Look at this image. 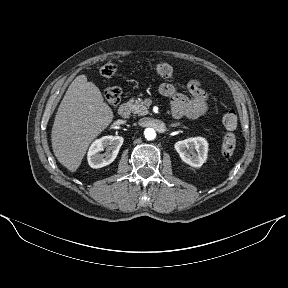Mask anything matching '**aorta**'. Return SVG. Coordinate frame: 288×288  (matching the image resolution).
I'll return each instance as SVG.
<instances>
[{"label":"aorta","instance_id":"obj_1","mask_svg":"<svg viewBox=\"0 0 288 288\" xmlns=\"http://www.w3.org/2000/svg\"><path fill=\"white\" fill-rule=\"evenodd\" d=\"M144 135L147 140H153L156 137V132L153 128H146Z\"/></svg>","mask_w":288,"mask_h":288}]
</instances>
